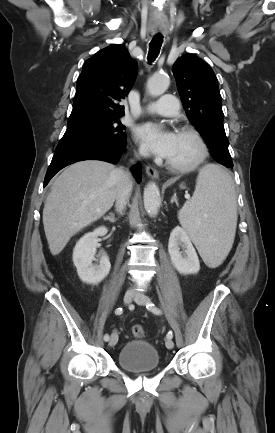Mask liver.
Here are the masks:
<instances>
[{
	"instance_id": "6515ba94",
	"label": "liver",
	"mask_w": 275,
	"mask_h": 433,
	"mask_svg": "<svg viewBox=\"0 0 275 433\" xmlns=\"http://www.w3.org/2000/svg\"><path fill=\"white\" fill-rule=\"evenodd\" d=\"M125 183L124 172L98 160L74 163L53 182L43 210L45 235L58 255L77 232L113 206Z\"/></svg>"
}]
</instances>
